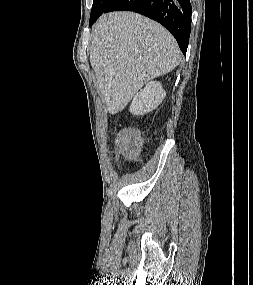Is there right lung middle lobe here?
I'll list each match as a JSON object with an SVG mask.
<instances>
[{"mask_svg":"<svg viewBox=\"0 0 253 285\" xmlns=\"http://www.w3.org/2000/svg\"><path fill=\"white\" fill-rule=\"evenodd\" d=\"M113 0H93L90 21L98 18Z\"/></svg>","mask_w":253,"mask_h":285,"instance_id":"obj_1","label":"right lung middle lobe"}]
</instances>
